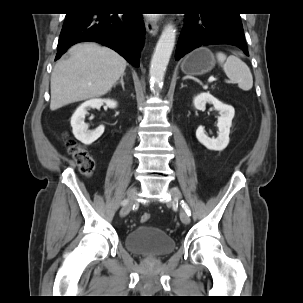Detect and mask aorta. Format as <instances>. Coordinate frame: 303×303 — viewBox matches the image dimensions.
I'll return each mask as SVG.
<instances>
[{
  "label": "aorta",
  "mask_w": 303,
  "mask_h": 303,
  "mask_svg": "<svg viewBox=\"0 0 303 303\" xmlns=\"http://www.w3.org/2000/svg\"><path fill=\"white\" fill-rule=\"evenodd\" d=\"M176 39V29L168 24L163 29L153 53L149 77L152 85L161 86L163 84L165 71L169 63Z\"/></svg>",
  "instance_id": "obj_1"
}]
</instances>
